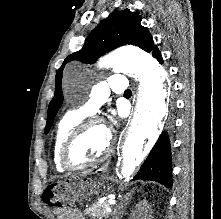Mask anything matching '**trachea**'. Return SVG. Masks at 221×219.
<instances>
[{"mask_svg":"<svg viewBox=\"0 0 221 219\" xmlns=\"http://www.w3.org/2000/svg\"><path fill=\"white\" fill-rule=\"evenodd\" d=\"M125 95H131L132 94V92H131V90H126V92L124 93Z\"/></svg>","mask_w":221,"mask_h":219,"instance_id":"obj_1","label":"trachea"}]
</instances>
